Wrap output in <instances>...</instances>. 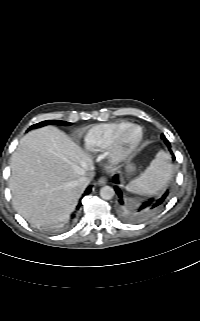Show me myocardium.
Returning <instances> with one entry per match:
<instances>
[{"instance_id": "myocardium-1", "label": "myocardium", "mask_w": 200, "mask_h": 321, "mask_svg": "<svg viewBox=\"0 0 200 321\" xmlns=\"http://www.w3.org/2000/svg\"><path fill=\"white\" fill-rule=\"evenodd\" d=\"M133 129L140 131L139 137L131 142H127V136ZM144 139V130L137 124H130L117 137L109 151V161L112 165H118L125 162L140 146Z\"/></svg>"}]
</instances>
